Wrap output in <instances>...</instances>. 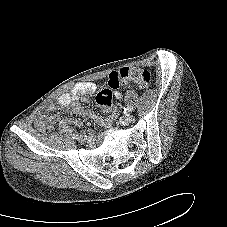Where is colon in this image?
Listing matches in <instances>:
<instances>
[{
	"instance_id": "obj_1",
	"label": "colon",
	"mask_w": 227,
	"mask_h": 227,
	"mask_svg": "<svg viewBox=\"0 0 227 227\" xmlns=\"http://www.w3.org/2000/svg\"><path fill=\"white\" fill-rule=\"evenodd\" d=\"M151 74L140 67H124L109 74L108 87L96 95V104L102 111L112 106L113 91L127 82H133L140 88H147L151 84Z\"/></svg>"
}]
</instances>
